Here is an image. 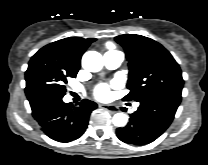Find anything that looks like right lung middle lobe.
Instances as JSON below:
<instances>
[{
	"label": "right lung middle lobe",
	"instance_id": "obj_1",
	"mask_svg": "<svg viewBox=\"0 0 208 165\" xmlns=\"http://www.w3.org/2000/svg\"><path fill=\"white\" fill-rule=\"evenodd\" d=\"M79 68L55 51L40 49L31 58L25 73V93L31 108L46 100L63 98L67 78L76 77Z\"/></svg>",
	"mask_w": 208,
	"mask_h": 165
}]
</instances>
